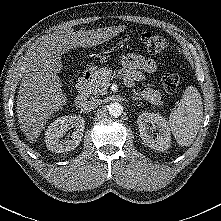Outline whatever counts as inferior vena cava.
Wrapping results in <instances>:
<instances>
[{"label": "inferior vena cava", "instance_id": "1", "mask_svg": "<svg viewBox=\"0 0 221 221\" xmlns=\"http://www.w3.org/2000/svg\"><path fill=\"white\" fill-rule=\"evenodd\" d=\"M101 104V100L98 98H92L89 101H86L82 105V110L84 112H90L96 109Z\"/></svg>", "mask_w": 221, "mask_h": 221}]
</instances>
